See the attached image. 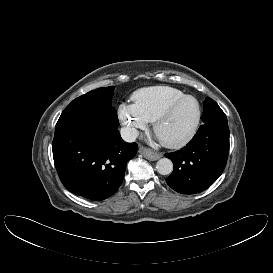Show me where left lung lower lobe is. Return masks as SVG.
Wrapping results in <instances>:
<instances>
[{
	"label": "left lung lower lobe",
	"mask_w": 273,
	"mask_h": 273,
	"mask_svg": "<svg viewBox=\"0 0 273 273\" xmlns=\"http://www.w3.org/2000/svg\"><path fill=\"white\" fill-rule=\"evenodd\" d=\"M228 123L202 125L182 149L166 153L174 170L167 184L182 194H195L211 186L222 174L229 152Z\"/></svg>",
	"instance_id": "left-lung-lower-lobe-1"
}]
</instances>
